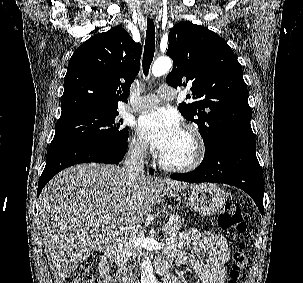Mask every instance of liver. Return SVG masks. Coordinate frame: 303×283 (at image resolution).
<instances>
[{
	"mask_svg": "<svg viewBox=\"0 0 303 283\" xmlns=\"http://www.w3.org/2000/svg\"><path fill=\"white\" fill-rule=\"evenodd\" d=\"M187 187L145 175L130 180L116 165L87 163L61 171L42 190L38 211L54 282L64 283L94 251L109 249L118 228L135 225L160 203L162 190Z\"/></svg>",
	"mask_w": 303,
	"mask_h": 283,
	"instance_id": "6515ba94",
	"label": "liver"
}]
</instances>
